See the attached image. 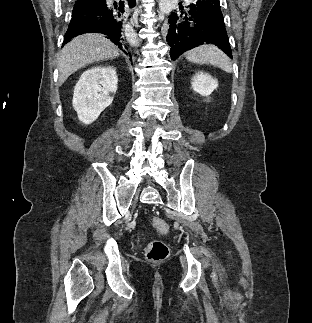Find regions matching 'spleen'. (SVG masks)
<instances>
[{
  "instance_id": "3e777b00",
  "label": "spleen",
  "mask_w": 312,
  "mask_h": 323,
  "mask_svg": "<svg viewBox=\"0 0 312 323\" xmlns=\"http://www.w3.org/2000/svg\"><path fill=\"white\" fill-rule=\"evenodd\" d=\"M186 58L194 64H211V66H219L224 72H232L230 60L224 52H221L217 46H199L190 52H186Z\"/></svg>"
}]
</instances>
